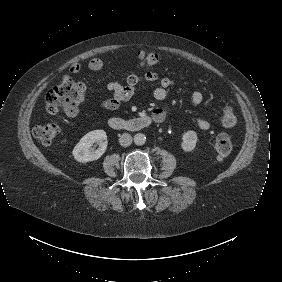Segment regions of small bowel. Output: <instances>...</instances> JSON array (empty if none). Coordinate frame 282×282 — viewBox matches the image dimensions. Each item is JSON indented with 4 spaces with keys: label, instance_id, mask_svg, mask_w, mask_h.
Masks as SVG:
<instances>
[{
    "label": "small bowel",
    "instance_id": "small-bowel-1",
    "mask_svg": "<svg viewBox=\"0 0 282 282\" xmlns=\"http://www.w3.org/2000/svg\"><path fill=\"white\" fill-rule=\"evenodd\" d=\"M88 69L91 71H98L103 67V61L100 58H93L88 62ZM81 69L80 64L75 63L70 67V72L75 74ZM146 83H154L153 97L157 101H164L168 96V90L174 87L175 83L170 78H159L156 73H146L144 75H137L131 73L125 84L118 80H114L108 83L107 89L110 92V97L104 99L101 102V107L105 110L114 111L117 110L124 102L130 100L135 94L136 90ZM203 95L200 91L194 90L190 93V101L194 105H198L202 102ZM79 107L72 106L65 108V113L69 117H74L78 114ZM160 112L164 113L161 109H157L153 112L155 117H161ZM165 115V114H164ZM162 122V121H159ZM196 126L201 130H208L210 128V122L204 117H197L195 119Z\"/></svg>",
    "mask_w": 282,
    "mask_h": 282
}]
</instances>
